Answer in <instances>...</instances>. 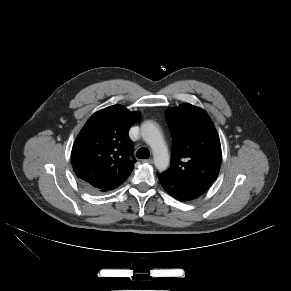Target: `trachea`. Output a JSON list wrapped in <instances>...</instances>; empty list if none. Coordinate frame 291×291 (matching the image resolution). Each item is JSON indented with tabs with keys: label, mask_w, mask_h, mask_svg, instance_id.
Wrapping results in <instances>:
<instances>
[{
	"label": "trachea",
	"mask_w": 291,
	"mask_h": 291,
	"mask_svg": "<svg viewBox=\"0 0 291 291\" xmlns=\"http://www.w3.org/2000/svg\"><path fill=\"white\" fill-rule=\"evenodd\" d=\"M136 155L139 159H148L150 156V152L146 147H141L137 150Z\"/></svg>",
	"instance_id": "1"
}]
</instances>
